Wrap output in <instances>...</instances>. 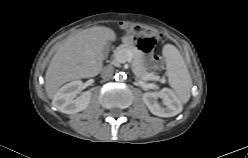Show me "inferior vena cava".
Wrapping results in <instances>:
<instances>
[{"mask_svg": "<svg viewBox=\"0 0 248 158\" xmlns=\"http://www.w3.org/2000/svg\"><path fill=\"white\" fill-rule=\"evenodd\" d=\"M114 69L111 66L106 67L102 72V77L105 79H109L113 76Z\"/></svg>", "mask_w": 248, "mask_h": 158, "instance_id": "1", "label": "inferior vena cava"}]
</instances>
